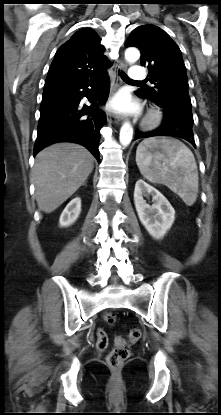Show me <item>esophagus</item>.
<instances>
[{"label": "esophagus", "mask_w": 221, "mask_h": 415, "mask_svg": "<svg viewBox=\"0 0 221 415\" xmlns=\"http://www.w3.org/2000/svg\"><path fill=\"white\" fill-rule=\"evenodd\" d=\"M127 65L125 64L124 61H119L117 63V65L115 66V79H114V88H118L121 84V72L123 70H126ZM122 116H120L119 114L113 113V112H109L108 113V120L110 122L119 124L122 121Z\"/></svg>", "instance_id": "1"}]
</instances>
